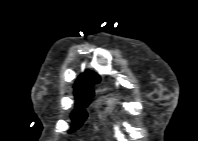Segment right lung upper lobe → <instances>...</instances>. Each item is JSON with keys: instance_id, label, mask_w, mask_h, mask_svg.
Instances as JSON below:
<instances>
[{"instance_id": "right-lung-upper-lobe-1", "label": "right lung upper lobe", "mask_w": 198, "mask_h": 141, "mask_svg": "<svg viewBox=\"0 0 198 141\" xmlns=\"http://www.w3.org/2000/svg\"><path fill=\"white\" fill-rule=\"evenodd\" d=\"M98 82H99L98 75L86 71L85 73H83L81 76L78 77L75 83V88L91 86L94 83H98Z\"/></svg>"}]
</instances>
